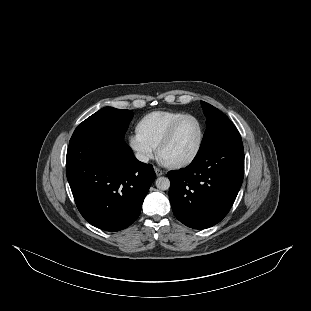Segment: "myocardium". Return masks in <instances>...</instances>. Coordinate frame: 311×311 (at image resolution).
<instances>
[{"label":"myocardium","mask_w":311,"mask_h":311,"mask_svg":"<svg viewBox=\"0 0 311 311\" xmlns=\"http://www.w3.org/2000/svg\"><path fill=\"white\" fill-rule=\"evenodd\" d=\"M188 118H195V119H197L199 121L200 125H201V137H200V141H199V144H198V147H197L195 153L193 154L192 157H190L189 159H187L185 161H182V162H178V163H167V162H164L162 160V152L164 151V149L167 146H169L171 144V142L173 141V139H174V137L176 135V132H177L178 128ZM206 135H207V129H206V125H205L204 121L196 114H185L184 116L179 118L171 126V128L168 130L166 135L163 137V139L159 143V145L157 147L158 157L166 166H168L170 168L180 169V168L188 167V166L192 165L193 163H195L198 160V158L200 157V155L202 153V150L204 148V144H205V140H206Z\"/></svg>","instance_id":"1"}]
</instances>
